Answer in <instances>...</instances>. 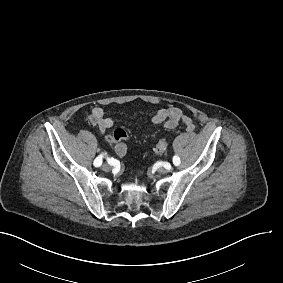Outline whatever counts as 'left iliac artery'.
I'll use <instances>...</instances> for the list:
<instances>
[{
    "instance_id": "1",
    "label": "left iliac artery",
    "mask_w": 283,
    "mask_h": 283,
    "mask_svg": "<svg viewBox=\"0 0 283 283\" xmlns=\"http://www.w3.org/2000/svg\"><path fill=\"white\" fill-rule=\"evenodd\" d=\"M173 163L175 166H178L180 164V158L178 156H173Z\"/></svg>"
}]
</instances>
